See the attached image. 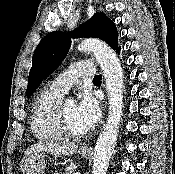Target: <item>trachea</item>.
<instances>
[{"mask_svg":"<svg viewBox=\"0 0 175 174\" xmlns=\"http://www.w3.org/2000/svg\"><path fill=\"white\" fill-rule=\"evenodd\" d=\"M102 79V75H96L94 78H93V81H100Z\"/></svg>","mask_w":175,"mask_h":174,"instance_id":"obj_1","label":"trachea"}]
</instances>
